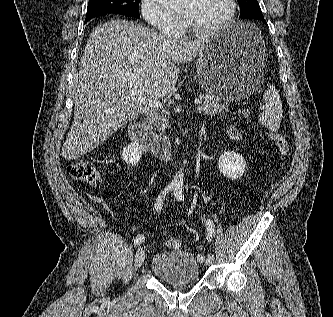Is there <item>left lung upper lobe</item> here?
Listing matches in <instances>:
<instances>
[{
    "mask_svg": "<svg viewBox=\"0 0 333 317\" xmlns=\"http://www.w3.org/2000/svg\"><path fill=\"white\" fill-rule=\"evenodd\" d=\"M240 6L241 19L263 18L261 8L257 0H237Z\"/></svg>",
    "mask_w": 333,
    "mask_h": 317,
    "instance_id": "obj_1",
    "label": "left lung upper lobe"
}]
</instances>
